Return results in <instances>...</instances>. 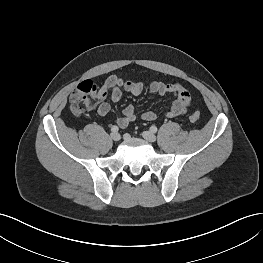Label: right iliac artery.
I'll list each match as a JSON object with an SVG mask.
<instances>
[{
    "instance_id": "82829eb1",
    "label": "right iliac artery",
    "mask_w": 263,
    "mask_h": 263,
    "mask_svg": "<svg viewBox=\"0 0 263 263\" xmlns=\"http://www.w3.org/2000/svg\"><path fill=\"white\" fill-rule=\"evenodd\" d=\"M118 130H119L118 126L114 125V126L111 127V131L112 132H118Z\"/></svg>"
}]
</instances>
